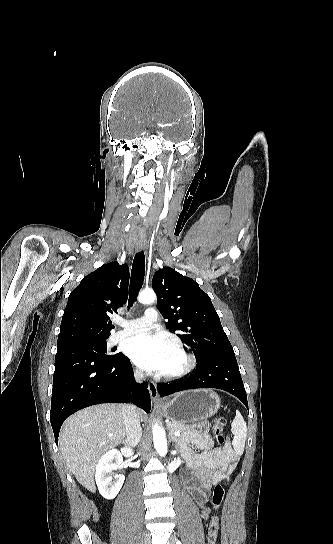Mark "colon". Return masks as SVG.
I'll return each instance as SVG.
<instances>
[{
  "label": "colon",
  "mask_w": 333,
  "mask_h": 544,
  "mask_svg": "<svg viewBox=\"0 0 333 544\" xmlns=\"http://www.w3.org/2000/svg\"><path fill=\"white\" fill-rule=\"evenodd\" d=\"M227 424V418L225 416H220L216 419L213 431L214 436L216 439V442L219 445H222L224 443V428ZM225 488L222 483H218L214 486L213 492L211 495V506L214 510V514L212 515L209 525H208V533H207V542L208 544H215L218 537L219 532V517L217 515V511L220 509L223 498H224Z\"/></svg>",
  "instance_id": "obj_1"
}]
</instances>
